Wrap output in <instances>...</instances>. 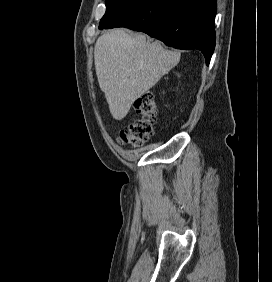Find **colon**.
Wrapping results in <instances>:
<instances>
[{
    "instance_id": "5ec220e1",
    "label": "colon",
    "mask_w": 272,
    "mask_h": 282,
    "mask_svg": "<svg viewBox=\"0 0 272 282\" xmlns=\"http://www.w3.org/2000/svg\"><path fill=\"white\" fill-rule=\"evenodd\" d=\"M137 118L132 120L119 133L118 142L121 145L141 147L155 132L157 119V103L153 94L138 98L133 105Z\"/></svg>"
}]
</instances>
